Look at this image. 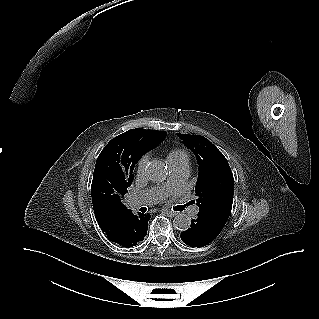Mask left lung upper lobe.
<instances>
[{
	"mask_svg": "<svg viewBox=\"0 0 319 319\" xmlns=\"http://www.w3.org/2000/svg\"><path fill=\"white\" fill-rule=\"evenodd\" d=\"M177 135L197 157L199 174L195 193L199 208H232L234 180L224 155L203 136L180 133Z\"/></svg>",
	"mask_w": 319,
	"mask_h": 319,
	"instance_id": "1",
	"label": "left lung upper lobe"
}]
</instances>
